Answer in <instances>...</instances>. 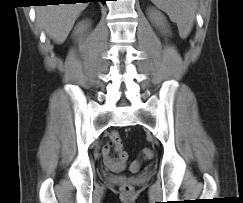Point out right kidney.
<instances>
[{
	"instance_id": "obj_1",
	"label": "right kidney",
	"mask_w": 243,
	"mask_h": 203,
	"mask_svg": "<svg viewBox=\"0 0 243 203\" xmlns=\"http://www.w3.org/2000/svg\"><path fill=\"white\" fill-rule=\"evenodd\" d=\"M89 24L87 21H81L78 23L74 30V36H82L88 30Z\"/></svg>"
}]
</instances>
